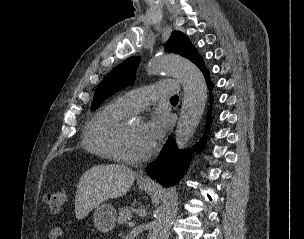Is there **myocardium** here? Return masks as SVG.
I'll return each instance as SVG.
<instances>
[{"instance_id":"f54148a6","label":"myocardium","mask_w":304,"mask_h":239,"mask_svg":"<svg viewBox=\"0 0 304 239\" xmlns=\"http://www.w3.org/2000/svg\"><path fill=\"white\" fill-rule=\"evenodd\" d=\"M128 122H124L119 128L116 136V150L121 161L126 163H140L148 158V154L134 155L126 148V137L128 131Z\"/></svg>"}]
</instances>
